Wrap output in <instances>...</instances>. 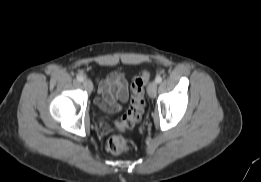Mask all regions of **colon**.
<instances>
[{
    "mask_svg": "<svg viewBox=\"0 0 261 182\" xmlns=\"http://www.w3.org/2000/svg\"><path fill=\"white\" fill-rule=\"evenodd\" d=\"M150 74L147 70H141L131 83V99L126 114L117 122V127L121 130L133 128L143 117L144 113V93L145 86L149 81ZM108 150L116 155L128 151L129 144L121 136H111L107 141Z\"/></svg>",
    "mask_w": 261,
    "mask_h": 182,
    "instance_id": "colon-1",
    "label": "colon"
}]
</instances>
